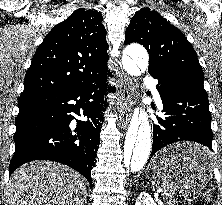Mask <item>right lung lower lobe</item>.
I'll use <instances>...</instances> for the list:
<instances>
[{
  "label": "right lung lower lobe",
  "instance_id": "obj_1",
  "mask_svg": "<svg viewBox=\"0 0 222 205\" xmlns=\"http://www.w3.org/2000/svg\"><path fill=\"white\" fill-rule=\"evenodd\" d=\"M107 72L66 91L42 92L18 100L14 134L15 152L9 175L24 163L51 160L68 165L92 185L91 169L99 145L100 125L107 106ZM84 115L87 121L72 120Z\"/></svg>",
  "mask_w": 222,
  "mask_h": 205
}]
</instances>
